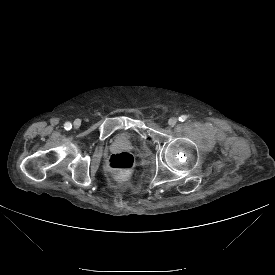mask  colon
I'll return each mask as SVG.
<instances>
[{
    "instance_id": "colon-1",
    "label": "colon",
    "mask_w": 275,
    "mask_h": 275,
    "mask_svg": "<svg viewBox=\"0 0 275 275\" xmlns=\"http://www.w3.org/2000/svg\"><path fill=\"white\" fill-rule=\"evenodd\" d=\"M106 163L109 169L127 175L134 166V158L129 152L122 151L111 154Z\"/></svg>"
}]
</instances>
